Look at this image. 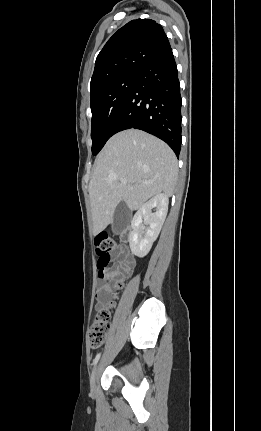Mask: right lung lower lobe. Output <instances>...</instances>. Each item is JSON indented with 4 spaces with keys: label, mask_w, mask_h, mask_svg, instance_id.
Listing matches in <instances>:
<instances>
[{
    "label": "right lung lower lobe",
    "mask_w": 261,
    "mask_h": 431,
    "mask_svg": "<svg viewBox=\"0 0 261 431\" xmlns=\"http://www.w3.org/2000/svg\"><path fill=\"white\" fill-rule=\"evenodd\" d=\"M181 119L180 84L170 47L140 70L112 133L130 128L146 131L165 141L179 157Z\"/></svg>",
    "instance_id": "obj_1"
}]
</instances>
